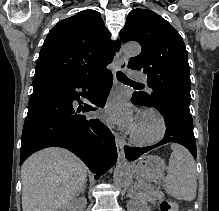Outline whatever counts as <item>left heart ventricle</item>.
I'll list each match as a JSON object with an SVG mask.
<instances>
[{
  "label": "left heart ventricle",
  "mask_w": 219,
  "mask_h": 211,
  "mask_svg": "<svg viewBox=\"0 0 219 211\" xmlns=\"http://www.w3.org/2000/svg\"><path fill=\"white\" fill-rule=\"evenodd\" d=\"M157 125V121L152 116H147L143 119L138 120L135 129L141 133H151Z\"/></svg>",
  "instance_id": "b2bd125f"
}]
</instances>
